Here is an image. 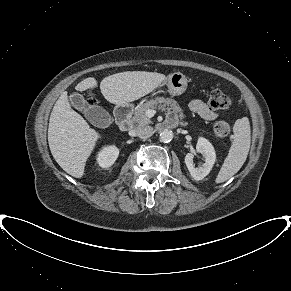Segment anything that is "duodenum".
Wrapping results in <instances>:
<instances>
[{
	"instance_id": "obj_1",
	"label": "duodenum",
	"mask_w": 291,
	"mask_h": 291,
	"mask_svg": "<svg viewBox=\"0 0 291 291\" xmlns=\"http://www.w3.org/2000/svg\"><path fill=\"white\" fill-rule=\"evenodd\" d=\"M131 113L132 107L130 105L119 106L115 110L116 123L121 130L127 131L131 128L132 126ZM174 123H175L174 120L168 119L162 126L168 127L173 125Z\"/></svg>"
}]
</instances>
